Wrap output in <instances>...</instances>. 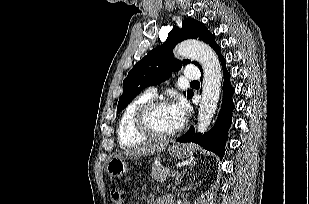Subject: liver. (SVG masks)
Wrapping results in <instances>:
<instances>
[{"instance_id":"obj_1","label":"liver","mask_w":309,"mask_h":204,"mask_svg":"<svg viewBox=\"0 0 309 204\" xmlns=\"http://www.w3.org/2000/svg\"><path fill=\"white\" fill-rule=\"evenodd\" d=\"M167 145H168V142L164 141V142L150 144V145L143 146V147L129 149V150H126L123 154L132 155V156L152 155L154 153L161 152L167 147Z\"/></svg>"}]
</instances>
